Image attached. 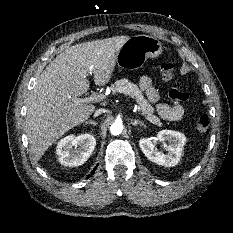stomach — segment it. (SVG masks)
Segmentation results:
<instances>
[{
    "label": "stomach",
    "instance_id": "1",
    "mask_svg": "<svg viewBox=\"0 0 233 233\" xmlns=\"http://www.w3.org/2000/svg\"><path fill=\"white\" fill-rule=\"evenodd\" d=\"M162 53L161 42L149 35H135L123 44L117 55V64L121 69L140 67L148 58H156Z\"/></svg>",
    "mask_w": 233,
    "mask_h": 233
}]
</instances>
